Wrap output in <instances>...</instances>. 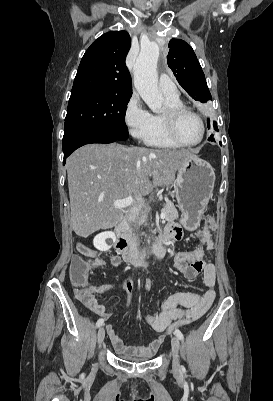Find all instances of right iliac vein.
<instances>
[{"mask_svg": "<svg viewBox=\"0 0 273 401\" xmlns=\"http://www.w3.org/2000/svg\"><path fill=\"white\" fill-rule=\"evenodd\" d=\"M105 338V330L104 327H100L97 334L98 345L101 347Z\"/></svg>", "mask_w": 273, "mask_h": 401, "instance_id": "63e3f726", "label": "right iliac vein"}]
</instances>
